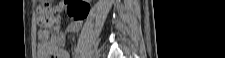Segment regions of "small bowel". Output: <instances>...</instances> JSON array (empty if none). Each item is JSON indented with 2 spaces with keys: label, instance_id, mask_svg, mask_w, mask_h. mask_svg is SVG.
Wrapping results in <instances>:
<instances>
[{
  "label": "small bowel",
  "instance_id": "1",
  "mask_svg": "<svg viewBox=\"0 0 225 58\" xmlns=\"http://www.w3.org/2000/svg\"><path fill=\"white\" fill-rule=\"evenodd\" d=\"M81 21L73 20L64 30L57 25L50 34L49 40L41 41L37 46L38 58H70L69 53L63 49L66 35L80 30Z\"/></svg>",
  "mask_w": 225,
  "mask_h": 58
}]
</instances>
